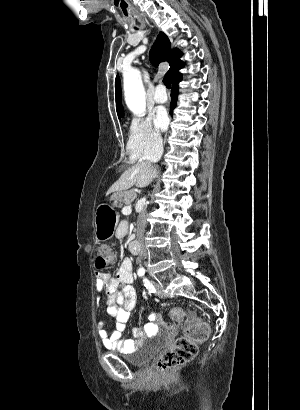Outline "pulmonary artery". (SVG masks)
Returning a JSON list of instances; mask_svg holds the SVG:
<instances>
[{
    "mask_svg": "<svg viewBox=\"0 0 300 410\" xmlns=\"http://www.w3.org/2000/svg\"><path fill=\"white\" fill-rule=\"evenodd\" d=\"M154 99L157 103H165L168 99L164 85L158 84L154 91Z\"/></svg>",
    "mask_w": 300,
    "mask_h": 410,
    "instance_id": "e3ab8cb5",
    "label": "pulmonary artery"
}]
</instances>
